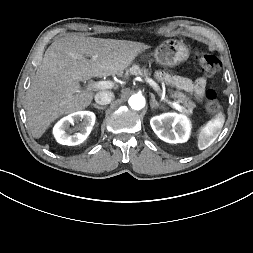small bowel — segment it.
Returning <instances> with one entry per match:
<instances>
[{
    "instance_id": "obj_1",
    "label": "small bowel",
    "mask_w": 253,
    "mask_h": 253,
    "mask_svg": "<svg viewBox=\"0 0 253 253\" xmlns=\"http://www.w3.org/2000/svg\"><path fill=\"white\" fill-rule=\"evenodd\" d=\"M176 86L179 88L194 93L197 97H201L206 88V80L202 77L192 81L185 77H178L173 80Z\"/></svg>"
}]
</instances>
